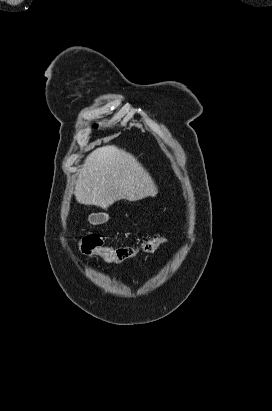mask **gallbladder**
<instances>
[{
	"instance_id": "1",
	"label": "gallbladder",
	"mask_w": 272,
	"mask_h": 411,
	"mask_svg": "<svg viewBox=\"0 0 272 411\" xmlns=\"http://www.w3.org/2000/svg\"><path fill=\"white\" fill-rule=\"evenodd\" d=\"M88 220L93 225H99L107 222L108 217L103 214H92L89 216Z\"/></svg>"
}]
</instances>
